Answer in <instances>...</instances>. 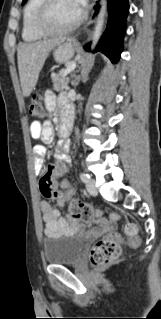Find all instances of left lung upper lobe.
I'll return each mask as SVG.
<instances>
[{
  "instance_id": "1",
  "label": "left lung upper lobe",
  "mask_w": 161,
  "mask_h": 319,
  "mask_svg": "<svg viewBox=\"0 0 161 319\" xmlns=\"http://www.w3.org/2000/svg\"><path fill=\"white\" fill-rule=\"evenodd\" d=\"M26 1H27V0H23V3H22V4H25V3H26Z\"/></svg>"
}]
</instances>
